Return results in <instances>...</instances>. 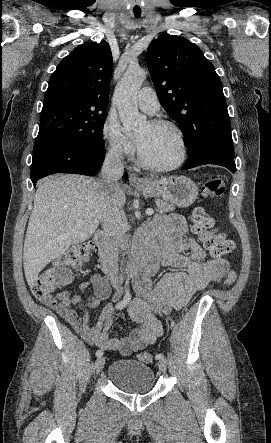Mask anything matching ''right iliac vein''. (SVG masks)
I'll list each match as a JSON object with an SVG mask.
<instances>
[{"mask_svg": "<svg viewBox=\"0 0 271 443\" xmlns=\"http://www.w3.org/2000/svg\"><path fill=\"white\" fill-rule=\"evenodd\" d=\"M104 365H105V358L104 357H98L96 362H95V372L97 374H99L103 370Z\"/></svg>", "mask_w": 271, "mask_h": 443, "instance_id": "right-iliac-vein-1", "label": "right iliac vein"}]
</instances>
